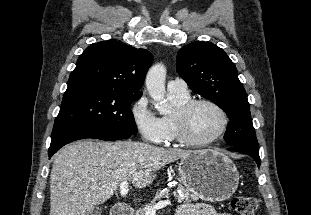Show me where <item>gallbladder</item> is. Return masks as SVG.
<instances>
[{
  "label": "gallbladder",
  "instance_id": "gallbladder-1",
  "mask_svg": "<svg viewBox=\"0 0 311 215\" xmlns=\"http://www.w3.org/2000/svg\"><path fill=\"white\" fill-rule=\"evenodd\" d=\"M102 209L100 207H95L91 213V215H101Z\"/></svg>",
  "mask_w": 311,
  "mask_h": 215
}]
</instances>
